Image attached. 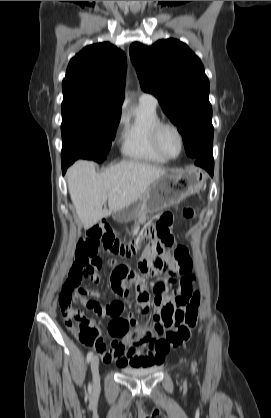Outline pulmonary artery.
Returning <instances> with one entry per match:
<instances>
[{
	"mask_svg": "<svg viewBox=\"0 0 271 418\" xmlns=\"http://www.w3.org/2000/svg\"><path fill=\"white\" fill-rule=\"evenodd\" d=\"M139 102L148 103L153 106H157V99L154 95L149 93H142L139 97Z\"/></svg>",
	"mask_w": 271,
	"mask_h": 418,
	"instance_id": "e3ab8cb5",
	"label": "pulmonary artery"
}]
</instances>
